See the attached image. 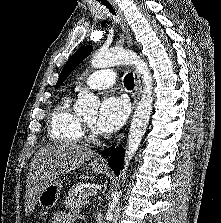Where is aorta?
Segmentation results:
<instances>
[{"label": "aorta", "instance_id": "aorta-1", "mask_svg": "<svg viewBox=\"0 0 221 223\" xmlns=\"http://www.w3.org/2000/svg\"><path fill=\"white\" fill-rule=\"evenodd\" d=\"M123 64L134 65L138 73L141 75L144 83L142 96L134 112L128 135L125 154V164L127 168V165L132 160L141 144L152 111L153 83L150 69L148 68L147 63L144 62L136 53L124 49L99 50L93 55L91 60V65L93 68H105ZM99 105V99L89 91L85 90L79 93L78 100L74 105V110L77 113L83 114L88 112H96ZM119 186L120 184L118 187ZM120 193V191H115L112 194V201L109 203L106 213L107 219L112 218V212L114 211V208L119 200Z\"/></svg>", "mask_w": 221, "mask_h": 223}]
</instances>
